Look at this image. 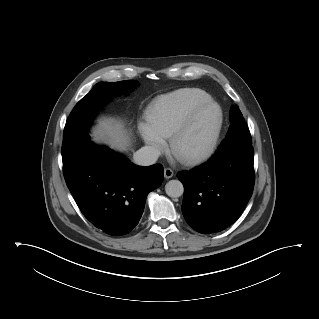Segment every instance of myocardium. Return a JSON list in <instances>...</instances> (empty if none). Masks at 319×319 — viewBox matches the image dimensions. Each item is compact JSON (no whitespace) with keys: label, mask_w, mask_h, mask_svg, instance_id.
<instances>
[{"label":"myocardium","mask_w":319,"mask_h":319,"mask_svg":"<svg viewBox=\"0 0 319 319\" xmlns=\"http://www.w3.org/2000/svg\"><path fill=\"white\" fill-rule=\"evenodd\" d=\"M216 107L219 113V123L209 146L200 152L184 153L180 150V143L192 129L197 117L207 108ZM225 115L221 105L212 99L196 106L188 115L183 124L176 130L170 139V150L174 157L183 164L196 165L211 158L219 145L223 131Z\"/></svg>","instance_id":"myocardium-1"}]
</instances>
